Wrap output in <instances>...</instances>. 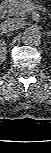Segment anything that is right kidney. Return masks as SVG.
Returning <instances> with one entry per match:
<instances>
[{"label": "right kidney", "mask_w": 51, "mask_h": 153, "mask_svg": "<svg viewBox=\"0 0 51 153\" xmlns=\"http://www.w3.org/2000/svg\"><path fill=\"white\" fill-rule=\"evenodd\" d=\"M5 52H6V47H5L3 44H1V45H0V58H1V61L4 60Z\"/></svg>", "instance_id": "1"}]
</instances>
